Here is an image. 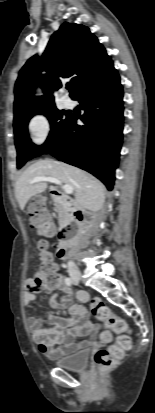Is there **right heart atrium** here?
Returning a JSON list of instances; mask_svg holds the SVG:
<instances>
[{
  "label": "right heart atrium",
  "mask_w": 155,
  "mask_h": 413,
  "mask_svg": "<svg viewBox=\"0 0 155 413\" xmlns=\"http://www.w3.org/2000/svg\"><path fill=\"white\" fill-rule=\"evenodd\" d=\"M29 137L34 145H42L48 139L51 132L50 118L44 113L34 114L27 123Z\"/></svg>",
  "instance_id": "right-heart-atrium-1"
}]
</instances>
